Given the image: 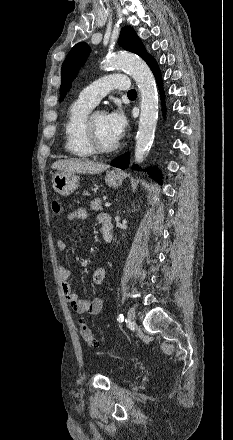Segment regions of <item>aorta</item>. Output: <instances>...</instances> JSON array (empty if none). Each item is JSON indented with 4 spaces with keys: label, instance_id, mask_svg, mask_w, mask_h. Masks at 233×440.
Returning a JSON list of instances; mask_svg holds the SVG:
<instances>
[{
    "label": "aorta",
    "instance_id": "762f6f07",
    "mask_svg": "<svg viewBox=\"0 0 233 440\" xmlns=\"http://www.w3.org/2000/svg\"><path fill=\"white\" fill-rule=\"evenodd\" d=\"M105 67L121 68L136 81L141 102L135 146V162L141 163L154 139L158 119V93L155 78L147 64L138 56L121 53L107 58Z\"/></svg>",
    "mask_w": 233,
    "mask_h": 440
}]
</instances>
